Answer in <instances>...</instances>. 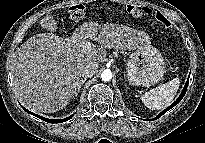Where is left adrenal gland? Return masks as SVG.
<instances>
[{"label": "left adrenal gland", "instance_id": "1", "mask_svg": "<svg viewBox=\"0 0 205 143\" xmlns=\"http://www.w3.org/2000/svg\"><path fill=\"white\" fill-rule=\"evenodd\" d=\"M125 87H126V90H128V86H127V84H125Z\"/></svg>", "mask_w": 205, "mask_h": 143}]
</instances>
